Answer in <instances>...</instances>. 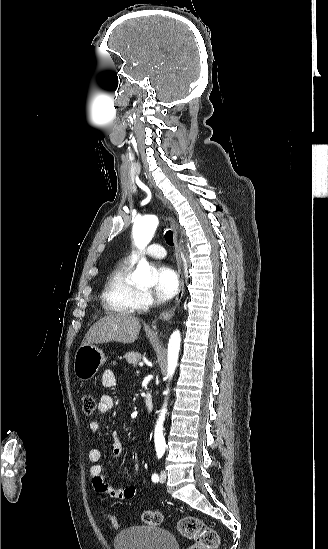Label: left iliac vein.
Here are the masks:
<instances>
[{"label": "left iliac vein", "instance_id": "obj_1", "mask_svg": "<svg viewBox=\"0 0 328 549\" xmlns=\"http://www.w3.org/2000/svg\"><path fill=\"white\" fill-rule=\"evenodd\" d=\"M167 478V474H166V471L165 470H162L161 473H160V482H165Z\"/></svg>", "mask_w": 328, "mask_h": 549}]
</instances>
